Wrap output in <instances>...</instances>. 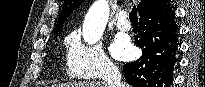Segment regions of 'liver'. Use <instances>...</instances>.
<instances>
[{
    "mask_svg": "<svg viewBox=\"0 0 205 87\" xmlns=\"http://www.w3.org/2000/svg\"><path fill=\"white\" fill-rule=\"evenodd\" d=\"M54 87H107V84L104 82H69Z\"/></svg>",
    "mask_w": 205,
    "mask_h": 87,
    "instance_id": "1",
    "label": "liver"
}]
</instances>
